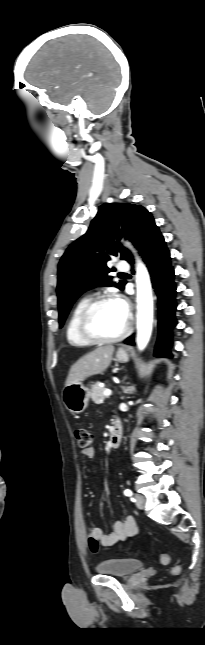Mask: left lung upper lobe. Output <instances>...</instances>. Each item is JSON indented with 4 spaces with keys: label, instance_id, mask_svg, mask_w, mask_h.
Returning <instances> with one entry per match:
<instances>
[{
    "label": "left lung upper lobe",
    "instance_id": "obj_1",
    "mask_svg": "<svg viewBox=\"0 0 205 645\" xmlns=\"http://www.w3.org/2000/svg\"><path fill=\"white\" fill-rule=\"evenodd\" d=\"M155 224L152 214L143 206L130 203H105L99 207L88 231L74 241L58 265L59 324L65 319L75 300L86 290L100 286L124 289L125 281L112 283L113 269L107 267L112 256L130 262L132 255L119 239L125 237L139 247L148 229ZM115 239L118 240L115 243Z\"/></svg>",
    "mask_w": 205,
    "mask_h": 645
}]
</instances>
